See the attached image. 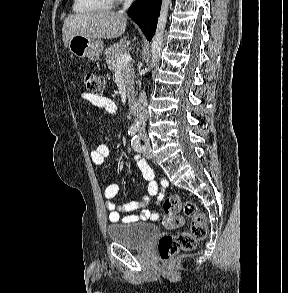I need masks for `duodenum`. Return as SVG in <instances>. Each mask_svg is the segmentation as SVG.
I'll return each instance as SVG.
<instances>
[{
    "label": "duodenum",
    "mask_w": 288,
    "mask_h": 293,
    "mask_svg": "<svg viewBox=\"0 0 288 293\" xmlns=\"http://www.w3.org/2000/svg\"><path fill=\"white\" fill-rule=\"evenodd\" d=\"M128 107L132 113H137L139 107L138 100L134 97L130 98L128 101Z\"/></svg>",
    "instance_id": "obj_1"
}]
</instances>
